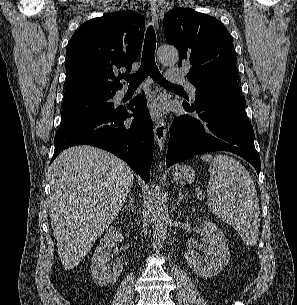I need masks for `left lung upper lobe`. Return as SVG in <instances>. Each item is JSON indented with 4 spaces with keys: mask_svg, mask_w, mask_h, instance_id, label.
Returning a JSON list of instances; mask_svg holds the SVG:
<instances>
[{
    "mask_svg": "<svg viewBox=\"0 0 297 305\" xmlns=\"http://www.w3.org/2000/svg\"><path fill=\"white\" fill-rule=\"evenodd\" d=\"M166 41L179 50V66H191L187 78L196 94L237 82L232 38L216 18L189 8H174L163 19Z\"/></svg>",
    "mask_w": 297,
    "mask_h": 305,
    "instance_id": "5c2ea615",
    "label": "left lung upper lobe"
}]
</instances>
